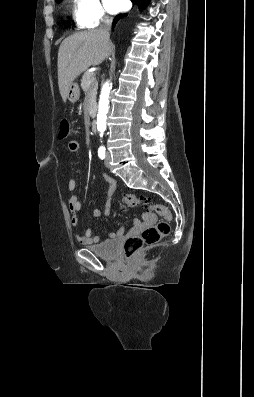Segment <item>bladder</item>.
Returning a JSON list of instances; mask_svg holds the SVG:
<instances>
[{
	"mask_svg": "<svg viewBox=\"0 0 254 397\" xmlns=\"http://www.w3.org/2000/svg\"><path fill=\"white\" fill-rule=\"evenodd\" d=\"M120 242L118 239L105 241L97 245H90L87 247L88 250L93 252L100 258L113 260L119 254Z\"/></svg>",
	"mask_w": 254,
	"mask_h": 397,
	"instance_id": "bladder-1",
	"label": "bladder"
}]
</instances>
